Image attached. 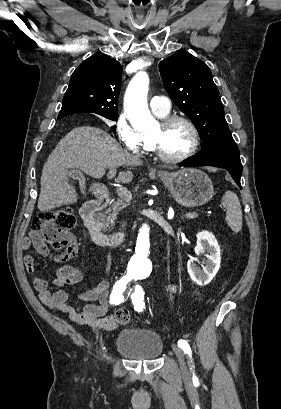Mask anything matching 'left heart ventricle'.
Here are the masks:
<instances>
[{"label": "left heart ventricle", "mask_w": 281, "mask_h": 409, "mask_svg": "<svg viewBox=\"0 0 281 409\" xmlns=\"http://www.w3.org/2000/svg\"><path fill=\"white\" fill-rule=\"evenodd\" d=\"M149 135H157L160 148L170 156L184 154L191 145V133L182 122H174L163 130L158 129V124L152 128Z\"/></svg>", "instance_id": "1"}]
</instances>
